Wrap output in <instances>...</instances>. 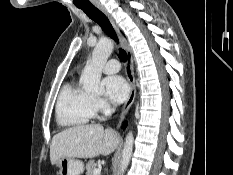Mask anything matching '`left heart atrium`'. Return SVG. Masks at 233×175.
<instances>
[{"instance_id": "39dd6f15", "label": "left heart atrium", "mask_w": 233, "mask_h": 175, "mask_svg": "<svg viewBox=\"0 0 233 175\" xmlns=\"http://www.w3.org/2000/svg\"><path fill=\"white\" fill-rule=\"evenodd\" d=\"M103 85L107 97L115 103H121L129 95V86L126 80L118 75L106 77Z\"/></svg>"}]
</instances>
